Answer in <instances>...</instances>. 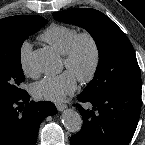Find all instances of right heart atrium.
Returning <instances> with one entry per match:
<instances>
[{
	"instance_id": "obj_1",
	"label": "right heart atrium",
	"mask_w": 145,
	"mask_h": 145,
	"mask_svg": "<svg viewBox=\"0 0 145 145\" xmlns=\"http://www.w3.org/2000/svg\"><path fill=\"white\" fill-rule=\"evenodd\" d=\"M32 46L29 41H24L19 48V64L21 71L27 77H36L37 71L33 69L31 62Z\"/></svg>"
}]
</instances>
